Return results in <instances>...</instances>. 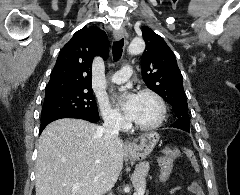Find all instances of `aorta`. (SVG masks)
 Here are the masks:
<instances>
[{"instance_id":"762f6f07","label":"aorta","mask_w":240,"mask_h":195,"mask_svg":"<svg viewBox=\"0 0 240 195\" xmlns=\"http://www.w3.org/2000/svg\"><path fill=\"white\" fill-rule=\"evenodd\" d=\"M145 50V42L140 40V38H134L131 44L128 46L129 54H141Z\"/></svg>"}]
</instances>
